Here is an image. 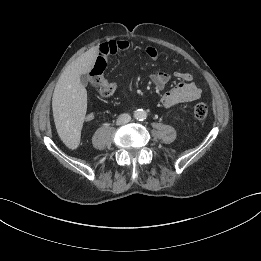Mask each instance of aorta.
<instances>
[{
	"instance_id": "1",
	"label": "aorta",
	"mask_w": 261,
	"mask_h": 261,
	"mask_svg": "<svg viewBox=\"0 0 261 261\" xmlns=\"http://www.w3.org/2000/svg\"><path fill=\"white\" fill-rule=\"evenodd\" d=\"M134 116L137 120H144L147 117V113L145 110L139 109L135 112Z\"/></svg>"
}]
</instances>
